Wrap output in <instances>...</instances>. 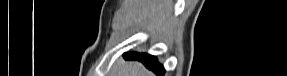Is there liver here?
<instances>
[{
  "mask_svg": "<svg viewBox=\"0 0 287 76\" xmlns=\"http://www.w3.org/2000/svg\"><path fill=\"white\" fill-rule=\"evenodd\" d=\"M113 76H152V73L146 70L138 62H125L119 59L114 66Z\"/></svg>",
  "mask_w": 287,
  "mask_h": 76,
  "instance_id": "obj_1",
  "label": "liver"
}]
</instances>
